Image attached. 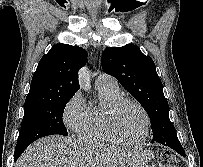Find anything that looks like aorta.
I'll use <instances>...</instances> for the list:
<instances>
[{
    "label": "aorta",
    "mask_w": 203,
    "mask_h": 167,
    "mask_svg": "<svg viewBox=\"0 0 203 167\" xmlns=\"http://www.w3.org/2000/svg\"><path fill=\"white\" fill-rule=\"evenodd\" d=\"M80 86L84 90H88L90 88L89 76L85 68L81 69L80 71Z\"/></svg>",
    "instance_id": "obj_1"
}]
</instances>
